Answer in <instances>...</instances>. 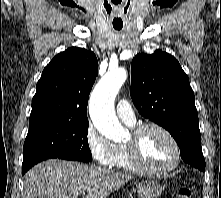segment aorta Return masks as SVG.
I'll list each match as a JSON object with an SVG mask.
<instances>
[{"instance_id":"aorta-1","label":"aorta","mask_w":221,"mask_h":198,"mask_svg":"<svg viewBox=\"0 0 221 198\" xmlns=\"http://www.w3.org/2000/svg\"><path fill=\"white\" fill-rule=\"evenodd\" d=\"M126 79L125 70H108L95 86L89 102V113L94 126L102 135L114 141L126 134L114 111L115 97Z\"/></svg>"}]
</instances>
